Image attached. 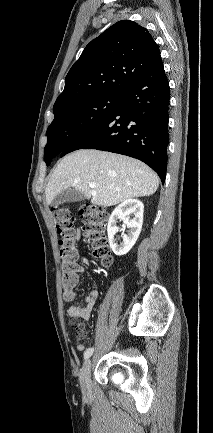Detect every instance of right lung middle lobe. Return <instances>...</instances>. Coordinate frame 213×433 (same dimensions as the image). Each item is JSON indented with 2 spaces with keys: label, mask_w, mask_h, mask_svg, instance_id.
<instances>
[{
  "label": "right lung middle lobe",
  "mask_w": 213,
  "mask_h": 433,
  "mask_svg": "<svg viewBox=\"0 0 213 433\" xmlns=\"http://www.w3.org/2000/svg\"><path fill=\"white\" fill-rule=\"evenodd\" d=\"M120 98L121 95L102 94L55 110V118L47 129L48 142L44 149L47 166L56 155L104 121Z\"/></svg>",
  "instance_id": "1"
}]
</instances>
